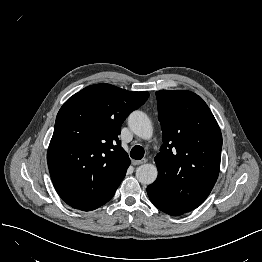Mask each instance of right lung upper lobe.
<instances>
[{"label":"right lung upper lobe","mask_w":262,"mask_h":262,"mask_svg":"<svg viewBox=\"0 0 262 262\" xmlns=\"http://www.w3.org/2000/svg\"><path fill=\"white\" fill-rule=\"evenodd\" d=\"M148 97L95 84L63 104L47 158L54 187L68 205L89 211L113 197L130 164L118 138L121 124Z\"/></svg>","instance_id":"cb5924a9"}]
</instances>
